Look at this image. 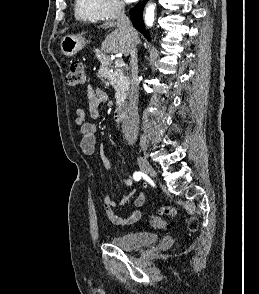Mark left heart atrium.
<instances>
[{"instance_id": "left-heart-atrium-1", "label": "left heart atrium", "mask_w": 259, "mask_h": 294, "mask_svg": "<svg viewBox=\"0 0 259 294\" xmlns=\"http://www.w3.org/2000/svg\"><path fill=\"white\" fill-rule=\"evenodd\" d=\"M126 2H134V1H137V0H125Z\"/></svg>"}]
</instances>
